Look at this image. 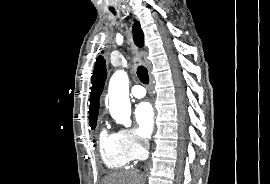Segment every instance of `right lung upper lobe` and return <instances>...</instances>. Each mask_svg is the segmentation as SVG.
<instances>
[{
    "instance_id": "obj_1",
    "label": "right lung upper lobe",
    "mask_w": 270,
    "mask_h": 184,
    "mask_svg": "<svg viewBox=\"0 0 270 184\" xmlns=\"http://www.w3.org/2000/svg\"><path fill=\"white\" fill-rule=\"evenodd\" d=\"M133 37L135 44L139 47L143 46L144 35L141 30L139 22L133 25ZM107 77L106 62L103 56H99L95 63V68L91 78V94L89 105V122L97 121L99 113V98L103 91L104 83Z\"/></svg>"
}]
</instances>
